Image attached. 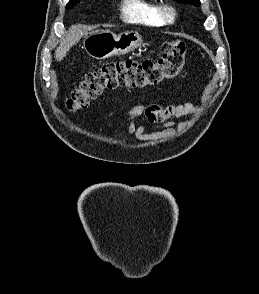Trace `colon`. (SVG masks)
I'll return each instance as SVG.
<instances>
[{
  "mask_svg": "<svg viewBox=\"0 0 259 294\" xmlns=\"http://www.w3.org/2000/svg\"><path fill=\"white\" fill-rule=\"evenodd\" d=\"M186 45L180 40L166 41L156 61L121 60L109 62L88 72L66 101L69 111L86 108L105 89L156 86L180 75L185 65Z\"/></svg>",
  "mask_w": 259,
  "mask_h": 294,
  "instance_id": "colon-1",
  "label": "colon"
}]
</instances>
